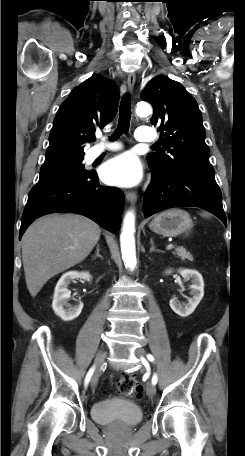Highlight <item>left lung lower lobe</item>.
I'll list each match as a JSON object with an SVG mask.
<instances>
[{
  "label": "left lung lower lobe",
  "instance_id": "obj_1",
  "mask_svg": "<svg viewBox=\"0 0 245 456\" xmlns=\"http://www.w3.org/2000/svg\"><path fill=\"white\" fill-rule=\"evenodd\" d=\"M152 169V183L144 195V216L180 206H195L216 215L224 224L222 195L214 176L161 172Z\"/></svg>",
  "mask_w": 245,
  "mask_h": 456
}]
</instances>
